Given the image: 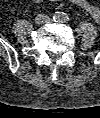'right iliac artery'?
Wrapping results in <instances>:
<instances>
[{
	"label": "right iliac artery",
	"instance_id": "right-iliac-artery-1",
	"mask_svg": "<svg viewBox=\"0 0 100 118\" xmlns=\"http://www.w3.org/2000/svg\"><path fill=\"white\" fill-rule=\"evenodd\" d=\"M53 19L59 20L60 19V15L59 14L55 15Z\"/></svg>",
	"mask_w": 100,
	"mask_h": 118
}]
</instances>
